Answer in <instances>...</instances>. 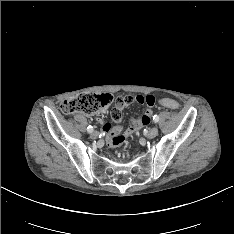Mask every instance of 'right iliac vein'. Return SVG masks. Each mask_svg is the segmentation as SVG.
I'll return each mask as SVG.
<instances>
[{
	"instance_id": "right-iliac-vein-1",
	"label": "right iliac vein",
	"mask_w": 234,
	"mask_h": 234,
	"mask_svg": "<svg viewBox=\"0 0 234 234\" xmlns=\"http://www.w3.org/2000/svg\"><path fill=\"white\" fill-rule=\"evenodd\" d=\"M98 135H99V133H98L97 131H93V132L91 133V137H92V138H98Z\"/></svg>"
}]
</instances>
